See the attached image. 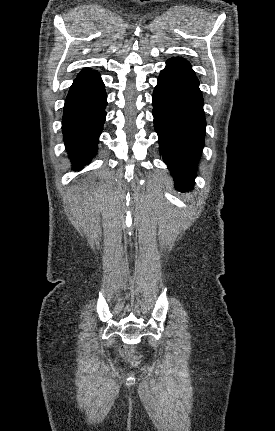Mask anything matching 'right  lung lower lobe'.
<instances>
[{
	"label": "right lung lower lobe",
	"mask_w": 275,
	"mask_h": 431,
	"mask_svg": "<svg viewBox=\"0 0 275 431\" xmlns=\"http://www.w3.org/2000/svg\"><path fill=\"white\" fill-rule=\"evenodd\" d=\"M107 94L95 70L79 75L65 100L62 132L73 169L80 170L97 153L106 117Z\"/></svg>",
	"instance_id": "obj_1"
}]
</instances>
